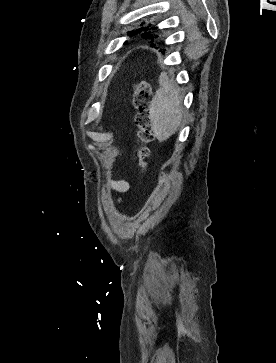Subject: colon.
Instances as JSON below:
<instances>
[{"label":"colon","mask_w":276,"mask_h":363,"mask_svg":"<svg viewBox=\"0 0 276 363\" xmlns=\"http://www.w3.org/2000/svg\"><path fill=\"white\" fill-rule=\"evenodd\" d=\"M152 91L146 81H139L134 88V106L137 110L135 123L139 128L135 160L141 169L146 168V159L150 154L148 147L153 140L151 120Z\"/></svg>","instance_id":"1"}]
</instances>
